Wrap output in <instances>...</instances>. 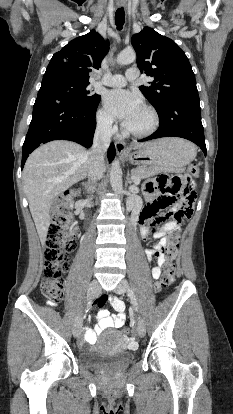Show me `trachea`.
Here are the masks:
<instances>
[{
  "instance_id": "obj_1",
  "label": "trachea",
  "mask_w": 233,
  "mask_h": 414,
  "mask_svg": "<svg viewBox=\"0 0 233 414\" xmlns=\"http://www.w3.org/2000/svg\"><path fill=\"white\" fill-rule=\"evenodd\" d=\"M125 22V12L124 8H118L115 13V23L118 30H121Z\"/></svg>"
}]
</instances>
